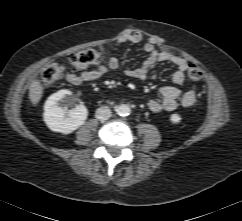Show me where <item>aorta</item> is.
Returning a JSON list of instances; mask_svg holds the SVG:
<instances>
[{"label":"aorta","mask_w":242,"mask_h":221,"mask_svg":"<svg viewBox=\"0 0 242 221\" xmlns=\"http://www.w3.org/2000/svg\"><path fill=\"white\" fill-rule=\"evenodd\" d=\"M116 112L120 116H127L131 112V108L127 104H122L116 107Z\"/></svg>","instance_id":"762f6f07"}]
</instances>
